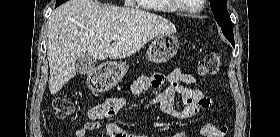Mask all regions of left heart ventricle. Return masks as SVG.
<instances>
[{
	"label": "left heart ventricle",
	"mask_w": 280,
	"mask_h": 137,
	"mask_svg": "<svg viewBox=\"0 0 280 137\" xmlns=\"http://www.w3.org/2000/svg\"><path fill=\"white\" fill-rule=\"evenodd\" d=\"M189 5L195 6L197 3V0H188Z\"/></svg>",
	"instance_id": "1"
}]
</instances>
